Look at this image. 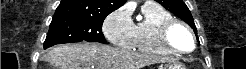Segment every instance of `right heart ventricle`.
I'll use <instances>...</instances> for the list:
<instances>
[{"label": "right heart ventricle", "mask_w": 246, "mask_h": 69, "mask_svg": "<svg viewBox=\"0 0 246 69\" xmlns=\"http://www.w3.org/2000/svg\"><path fill=\"white\" fill-rule=\"evenodd\" d=\"M141 11L142 17L134 24L130 48L155 56L169 55V50L158 42L157 32L163 22L174 17L169 11L150 1L142 6Z\"/></svg>", "instance_id": "e07e8e85"}]
</instances>
